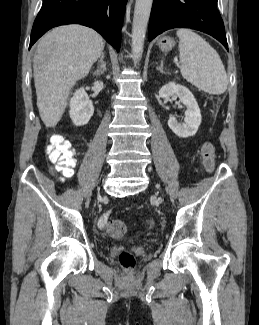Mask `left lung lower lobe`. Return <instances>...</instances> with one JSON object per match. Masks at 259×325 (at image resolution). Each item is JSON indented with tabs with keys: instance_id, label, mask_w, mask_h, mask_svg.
I'll return each mask as SVG.
<instances>
[{
	"instance_id": "0a47b994",
	"label": "left lung lower lobe",
	"mask_w": 259,
	"mask_h": 325,
	"mask_svg": "<svg viewBox=\"0 0 259 325\" xmlns=\"http://www.w3.org/2000/svg\"><path fill=\"white\" fill-rule=\"evenodd\" d=\"M172 28H191L205 32L228 50L224 23L217 0H153L148 40Z\"/></svg>"
}]
</instances>
